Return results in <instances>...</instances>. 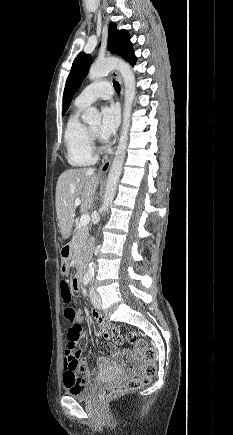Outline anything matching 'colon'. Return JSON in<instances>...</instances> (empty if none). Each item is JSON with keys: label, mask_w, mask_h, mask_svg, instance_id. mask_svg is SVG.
<instances>
[{"label": "colon", "mask_w": 233, "mask_h": 435, "mask_svg": "<svg viewBox=\"0 0 233 435\" xmlns=\"http://www.w3.org/2000/svg\"><path fill=\"white\" fill-rule=\"evenodd\" d=\"M67 302H70V295L65 297ZM77 315L76 310L73 307H68L65 310V316L68 320L73 321ZM112 338L115 343L122 344L124 340L129 343L137 344L143 352L144 360L147 365L144 369L143 374L140 377L130 378L122 383H114L106 386L100 394V399L103 402L110 401L112 399L117 398L120 395L139 390L143 385H147L152 381V378L156 372V349L150 346L145 345L142 341L139 340L137 334L135 332H127L125 338H123L119 329H112ZM75 345L71 343H67L65 345V353L72 354L74 353ZM71 380L74 381L75 385H80V380L78 378L71 377ZM73 390V389H72Z\"/></svg>", "instance_id": "1"}]
</instances>
